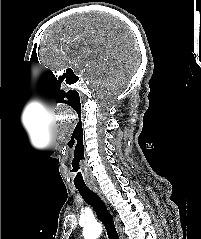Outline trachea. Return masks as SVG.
<instances>
[{
  "label": "trachea",
  "instance_id": "1",
  "mask_svg": "<svg viewBox=\"0 0 201 239\" xmlns=\"http://www.w3.org/2000/svg\"><path fill=\"white\" fill-rule=\"evenodd\" d=\"M83 199L93 208L104 225L109 239H119L112 215L101 198L87 186H76Z\"/></svg>",
  "mask_w": 201,
  "mask_h": 239
}]
</instances>
